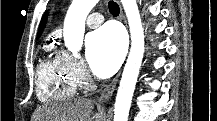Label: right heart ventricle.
<instances>
[{"label": "right heart ventricle", "instance_id": "right-heart-ventricle-1", "mask_svg": "<svg viewBox=\"0 0 217 121\" xmlns=\"http://www.w3.org/2000/svg\"><path fill=\"white\" fill-rule=\"evenodd\" d=\"M77 82L63 58H46L37 68V97L42 102L63 101L76 93Z\"/></svg>", "mask_w": 217, "mask_h": 121}]
</instances>
